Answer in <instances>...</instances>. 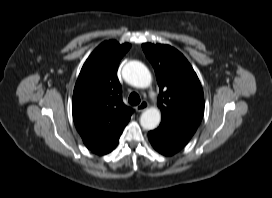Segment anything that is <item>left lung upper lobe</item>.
Masks as SVG:
<instances>
[{
    "mask_svg": "<svg viewBox=\"0 0 272 198\" xmlns=\"http://www.w3.org/2000/svg\"><path fill=\"white\" fill-rule=\"evenodd\" d=\"M160 88L161 121L195 132L204 114L200 81L187 59L169 45L142 44Z\"/></svg>",
    "mask_w": 272,
    "mask_h": 198,
    "instance_id": "5c2ea615",
    "label": "left lung upper lobe"
}]
</instances>
